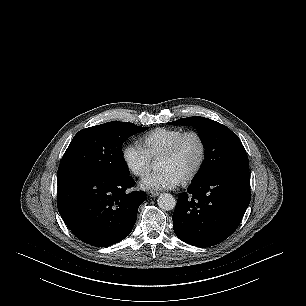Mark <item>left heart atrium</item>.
Masks as SVG:
<instances>
[{"label":"left heart atrium","mask_w":306,"mask_h":306,"mask_svg":"<svg viewBox=\"0 0 306 306\" xmlns=\"http://www.w3.org/2000/svg\"><path fill=\"white\" fill-rule=\"evenodd\" d=\"M183 179L170 169H161L160 171L149 175L140 183L143 189L163 190L178 186Z\"/></svg>","instance_id":"39dd6f15"}]
</instances>
